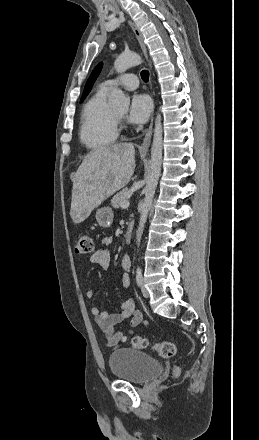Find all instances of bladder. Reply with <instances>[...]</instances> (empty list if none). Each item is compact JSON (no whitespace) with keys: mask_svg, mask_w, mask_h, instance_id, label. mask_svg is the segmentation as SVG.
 Masks as SVG:
<instances>
[{"mask_svg":"<svg viewBox=\"0 0 259 440\" xmlns=\"http://www.w3.org/2000/svg\"><path fill=\"white\" fill-rule=\"evenodd\" d=\"M112 374L120 380L135 384L146 383L163 370L162 363L151 355L134 348H119L109 356Z\"/></svg>","mask_w":259,"mask_h":440,"instance_id":"31cf9c89","label":"bladder"}]
</instances>
